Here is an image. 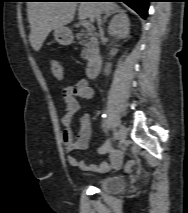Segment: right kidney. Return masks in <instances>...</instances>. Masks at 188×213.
Returning <instances> with one entry per match:
<instances>
[{
	"label": "right kidney",
	"mask_w": 188,
	"mask_h": 213,
	"mask_svg": "<svg viewBox=\"0 0 188 213\" xmlns=\"http://www.w3.org/2000/svg\"><path fill=\"white\" fill-rule=\"evenodd\" d=\"M108 33L117 40L129 37L130 21L125 11L119 13L111 20L108 26Z\"/></svg>",
	"instance_id": "1"
}]
</instances>
